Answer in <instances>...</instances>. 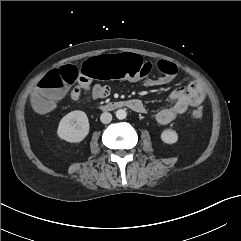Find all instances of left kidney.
<instances>
[{
  "mask_svg": "<svg viewBox=\"0 0 241 241\" xmlns=\"http://www.w3.org/2000/svg\"><path fill=\"white\" fill-rule=\"evenodd\" d=\"M160 137L161 140L167 144L176 143L178 140V134L172 129L163 130Z\"/></svg>",
  "mask_w": 241,
  "mask_h": 241,
  "instance_id": "obj_1",
  "label": "left kidney"
}]
</instances>
